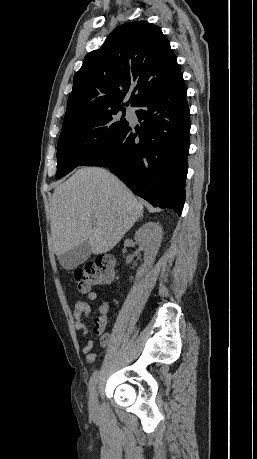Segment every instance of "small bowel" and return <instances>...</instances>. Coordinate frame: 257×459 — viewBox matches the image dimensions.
<instances>
[{
  "label": "small bowel",
  "mask_w": 257,
  "mask_h": 459,
  "mask_svg": "<svg viewBox=\"0 0 257 459\" xmlns=\"http://www.w3.org/2000/svg\"><path fill=\"white\" fill-rule=\"evenodd\" d=\"M97 293L95 291L87 292V300L77 301L74 310V328L76 331L82 333L83 336L88 335V327L85 323L86 318L91 313L90 302H93L97 299ZM110 310V305L107 301H102L99 306V316H97L93 321V332L100 337V345L105 348L108 346L110 341V335L106 331L108 324V312ZM94 342L92 339H88L83 346V354L85 355L86 362L88 364H93L96 361L97 354L93 351Z\"/></svg>",
  "instance_id": "small-bowel-1"
}]
</instances>
